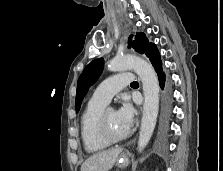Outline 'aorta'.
Masks as SVG:
<instances>
[{"label": "aorta", "mask_w": 223, "mask_h": 171, "mask_svg": "<svg viewBox=\"0 0 223 171\" xmlns=\"http://www.w3.org/2000/svg\"><path fill=\"white\" fill-rule=\"evenodd\" d=\"M111 72L133 69L139 76L144 92L143 116L138 140V151L141 152L150 141L159 111V82L153 66L136 56L115 57L108 63Z\"/></svg>", "instance_id": "1"}]
</instances>
